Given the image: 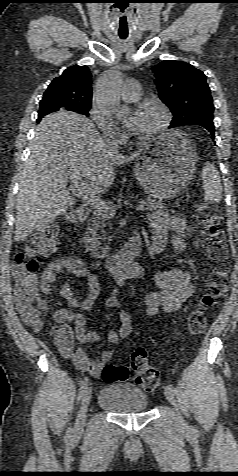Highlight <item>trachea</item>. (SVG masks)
I'll return each instance as SVG.
<instances>
[{
  "label": "trachea",
  "instance_id": "obj_1",
  "mask_svg": "<svg viewBox=\"0 0 238 476\" xmlns=\"http://www.w3.org/2000/svg\"><path fill=\"white\" fill-rule=\"evenodd\" d=\"M120 38H121V39H125L126 37H125V36H121Z\"/></svg>",
  "mask_w": 238,
  "mask_h": 476
}]
</instances>
